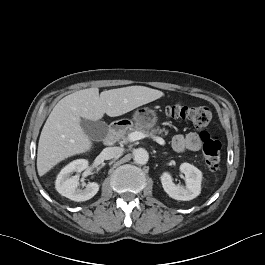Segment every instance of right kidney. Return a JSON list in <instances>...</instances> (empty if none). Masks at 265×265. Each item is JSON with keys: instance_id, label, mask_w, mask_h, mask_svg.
<instances>
[{"instance_id": "obj_1", "label": "right kidney", "mask_w": 265, "mask_h": 265, "mask_svg": "<svg viewBox=\"0 0 265 265\" xmlns=\"http://www.w3.org/2000/svg\"><path fill=\"white\" fill-rule=\"evenodd\" d=\"M88 167V161L78 159L65 166L57 176L55 188L62 196L76 202H83L91 199L99 191V185L92 182L86 185L85 189H79V176H71L73 172L80 173Z\"/></svg>"}]
</instances>
